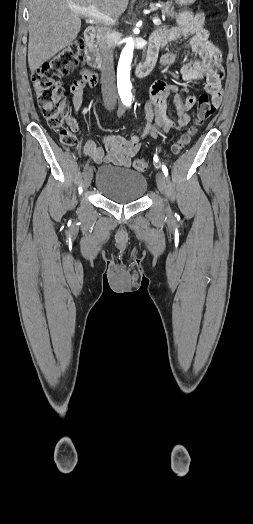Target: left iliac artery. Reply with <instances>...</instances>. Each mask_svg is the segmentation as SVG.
<instances>
[{
  "mask_svg": "<svg viewBox=\"0 0 253 524\" xmlns=\"http://www.w3.org/2000/svg\"><path fill=\"white\" fill-rule=\"evenodd\" d=\"M127 106H130V103L127 104ZM155 160H157V156L154 157ZM162 171L164 173V175L167 177L168 176V169L165 165H162Z\"/></svg>",
  "mask_w": 253,
  "mask_h": 524,
  "instance_id": "44dca946",
  "label": "left iliac artery"
}]
</instances>
